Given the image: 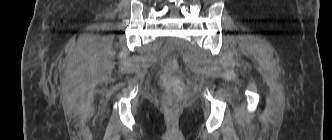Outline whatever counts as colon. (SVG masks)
I'll return each instance as SVG.
<instances>
[{
    "instance_id": "obj_1",
    "label": "colon",
    "mask_w": 332,
    "mask_h": 140,
    "mask_svg": "<svg viewBox=\"0 0 332 140\" xmlns=\"http://www.w3.org/2000/svg\"><path fill=\"white\" fill-rule=\"evenodd\" d=\"M177 61L171 59L166 64L165 72L162 76V84L165 89V96L162 98L164 110L170 116L177 111L184 93L183 83L176 77Z\"/></svg>"
}]
</instances>
